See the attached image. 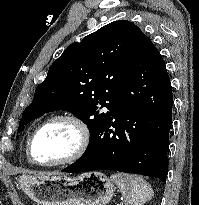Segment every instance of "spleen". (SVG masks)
Instances as JSON below:
<instances>
[{
  "mask_svg": "<svg viewBox=\"0 0 199 205\" xmlns=\"http://www.w3.org/2000/svg\"><path fill=\"white\" fill-rule=\"evenodd\" d=\"M110 179L120 188L125 205H142L153 196L151 186L143 178L126 173H114Z\"/></svg>",
  "mask_w": 199,
  "mask_h": 205,
  "instance_id": "3e777b00",
  "label": "spleen"
}]
</instances>
